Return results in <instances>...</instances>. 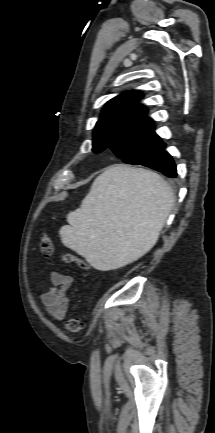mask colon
Listing matches in <instances>:
<instances>
[{
	"label": "colon",
	"mask_w": 215,
	"mask_h": 433,
	"mask_svg": "<svg viewBox=\"0 0 215 433\" xmlns=\"http://www.w3.org/2000/svg\"><path fill=\"white\" fill-rule=\"evenodd\" d=\"M40 252L41 255L50 260L53 257L54 254V244H53V240L52 237L50 236L49 233H42L40 235ZM63 261L67 264H76L78 265L80 268H88V264L81 258L77 257L75 254L73 253H65L63 255ZM83 322L80 318H69L65 321V330L67 333L69 334H75L80 332L83 329Z\"/></svg>",
	"instance_id": "colon-1"
}]
</instances>
